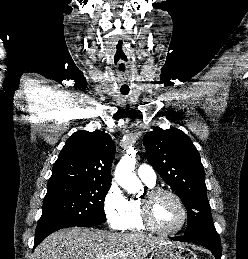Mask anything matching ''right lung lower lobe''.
<instances>
[{"label": "right lung lower lobe", "instance_id": "1", "mask_svg": "<svg viewBox=\"0 0 248 259\" xmlns=\"http://www.w3.org/2000/svg\"><path fill=\"white\" fill-rule=\"evenodd\" d=\"M77 226L75 224L64 223V222H53L47 223L43 225L37 226L35 241H34V248L44 240L48 235L51 233L66 227H74ZM78 227H87V226H78Z\"/></svg>", "mask_w": 248, "mask_h": 259}]
</instances>
